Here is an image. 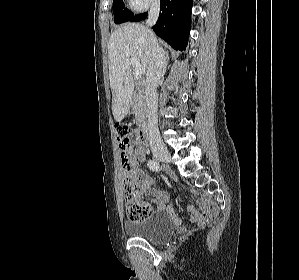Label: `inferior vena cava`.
Returning a JSON list of instances; mask_svg holds the SVG:
<instances>
[{
	"instance_id": "obj_1",
	"label": "inferior vena cava",
	"mask_w": 299,
	"mask_h": 280,
	"mask_svg": "<svg viewBox=\"0 0 299 280\" xmlns=\"http://www.w3.org/2000/svg\"><path fill=\"white\" fill-rule=\"evenodd\" d=\"M159 16V2L155 0L152 4L146 24L152 27ZM150 32L151 39V60L146 73L145 81V104L147 108L148 117V130L150 145L160 144L161 137L158 129V99H157V87L163 80L166 71V56L165 51L162 50L152 31Z\"/></svg>"
}]
</instances>
